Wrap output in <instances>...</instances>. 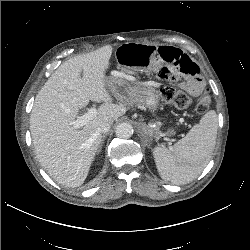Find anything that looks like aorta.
I'll return each instance as SVG.
<instances>
[{
  "label": "aorta",
  "instance_id": "obj_1",
  "mask_svg": "<svg viewBox=\"0 0 250 250\" xmlns=\"http://www.w3.org/2000/svg\"><path fill=\"white\" fill-rule=\"evenodd\" d=\"M133 134V127L131 124L123 122L116 127V135L119 138L127 139Z\"/></svg>",
  "mask_w": 250,
  "mask_h": 250
}]
</instances>
